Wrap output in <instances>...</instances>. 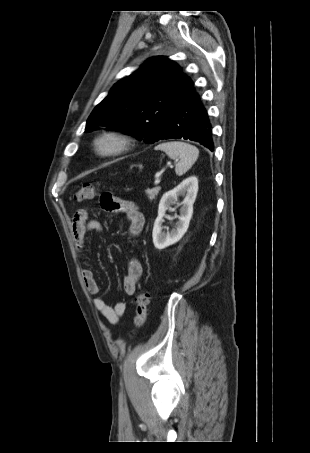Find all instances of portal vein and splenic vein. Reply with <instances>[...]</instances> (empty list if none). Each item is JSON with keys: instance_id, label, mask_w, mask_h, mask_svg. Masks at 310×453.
I'll return each instance as SVG.
<instances>
[{"instance_id": "18ae733b", "label": "portal vein and splenic vein", "mask_w": 310, "mask_h": 453, "mask_svg": "<svg viewBox=\"0 0 310 453\" xmlns=\"http://www.w3.org/2000/svg\"><path fill=\"white\" fill-rule=\"evenodd\" d=\"M159 183H160V175H156L154 184L158 185Z\"/></svg>"}]
</instances>
